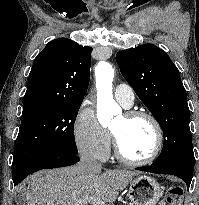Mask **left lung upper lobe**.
I'll list each match as a JSON object with an SVG mask.
<instances>
[{
	"label": "left lung upper lobe",
	"mask_w": 199,
	"mask_h": 205,
	"mask_svg": "<svg viewBox=\"0 0 199 205\" xmlns=\"http://www.w3.org/2000/svg\"><path fill=\"white\" fill-rule=\"evenodd\" d=\"M117 64L164 134V146L153 163H181L194 169L190 113L180 73L166 52L153 44L119 51Z\"/></svg>",
	"instance_id": "left-lung-upper-lobe-1"
}]
</instances>
